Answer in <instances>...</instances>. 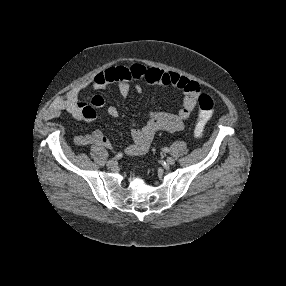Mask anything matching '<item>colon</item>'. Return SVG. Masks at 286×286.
<instances>
[{
	"label": "colon",
	"mask_w": 286,
	"mask_h": 286,
	"mask_svg": "<svg viewBox=\"0 0 286 286\" xmlns=\"http://www.w3.org/2000/svg\"><path fill=\"white\" fill-rule=\"evenodd\" d=\"M198 106L200 112L194 128V135L199 138L203 136L205 125L213 115L214 104L208 94L201 93L198 96Z\"/></svg>",
	"instance_id": "1"
}]
</instances>
